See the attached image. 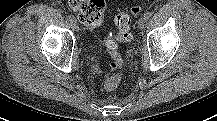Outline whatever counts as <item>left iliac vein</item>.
Returning <instances> with one entry per match:
<instances>
[{"label": "left iliac vein", "instance_id": "left-iliac-vein-1", "mask_svg": "<svg viewBox=\"0 0 217 121\" xmlns=\"http://www.w3.org/2000/svg\"><path fill=\"white\" fill-rule=\"evenodd\" d=\"M146 25H147V18L143 16L138 20V26L140 29H144Z\"/></svg>", "mask_w": 217, "mask_h": 121}]
</instances>
